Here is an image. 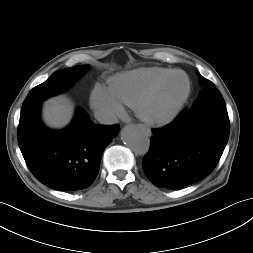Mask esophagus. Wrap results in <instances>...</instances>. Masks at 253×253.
I'll list each match as a JSON object with an SVG mask.
<instances>
[{
    "instance_id": "obj_1",
    "label": "esophagus",
    "mask_w": 253,
    "mask_h": 253,
    "mask_svg": "<svg viewBox=\"0 0 253 253\" xmlns=\"http://www.w3.org/2000/svg\"><path fill=\"white\" fill-rule=\"evenodd\" d=\"M139 127L142 128V129H144V131H145L148 135L151 134V130H150L148 127H145V126H143V125H140Z\"/></svg>"
}]
</instances>
